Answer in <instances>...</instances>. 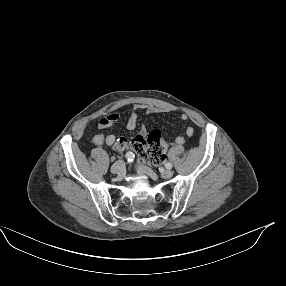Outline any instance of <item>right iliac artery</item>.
Masks as SVG:
<instances>
[{"label":"right iliac artery","instance_id":"82829eb1","mask_svg":"<svg viewBox=\"0 0 286 286\" xmlns=\"http://www.w3.org/2000/svg\"><path fill=\"white\" fill-rule=\"evenodd\" d=\"M126 159L127 161L130 163V162H133L134 160V154L132 152H127L126 153Z\"/></svg>","mask_w":286,"mask_h":286}]
</instances>
